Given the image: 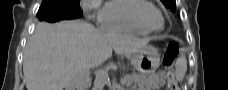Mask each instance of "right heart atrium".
<instances>
[{"label": "right heart atrium", "mask_w": 228, "mask_h": 90, "mask_svg": "<svg viewBox=\"0 0 228 90\" xmlns=\"http://www.w3.org/2000/svg\"><path fill=\"white\" fill-rule=\"evenodd\" d=\"M81 5L84 12L90 19L102 22L103 9L101 0H83Z\"/></svg>", "instance_id": "right-heart-atrium-1"}]
</instances>
